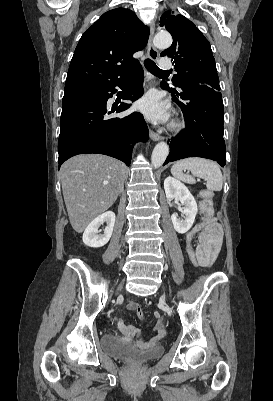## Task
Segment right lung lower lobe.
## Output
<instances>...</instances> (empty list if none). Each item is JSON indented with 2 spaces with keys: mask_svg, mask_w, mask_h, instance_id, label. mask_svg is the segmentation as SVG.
<instances>
[{
  "mask_svg": "<svg viewBox=\"0 0 273 401\" xmlns=\"http://www.w3.org/2000/svg\"><path fill=\"white\" fill-rule=\"evenodd\" d=\"M143 69L137 64L125 77L97 91L85 94L62 105L58 140V169L77 154H106L130 165L133 145L148 139V128L139 112L126 117L108 115L122 112L131 104L121 103L109 111L107 101L116 93V86L127 83L124 99L135 101L143 94Z\"/></svg>",
  "mask_w": 273,
  "mask_h": 401,
  "instance_id": "1",
  "label": "right lung lower lobe"
}]
</instances>
